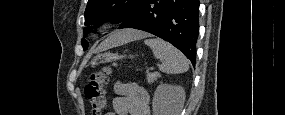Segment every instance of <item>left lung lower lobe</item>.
Listing matches in <instances>:
<instances>
[{
	"label": "left lung lower lobe",
	"instance_id": "1",
	"mask_svg": "<svg viewBox=\"0 0 285 115\" xmlns=\"http://www.w3.org/2000/svg\"><path fill=\"white\" fill-rule=\"evenodd\" d=\"M198 17V0H138L119 28L154 34L181 50L195 65Z\"/></svg>",
	"mask_w": 285,
	"mask_h": 115
}]
</instances>
